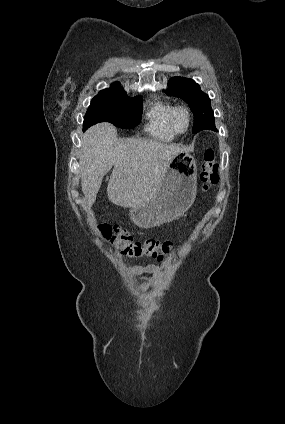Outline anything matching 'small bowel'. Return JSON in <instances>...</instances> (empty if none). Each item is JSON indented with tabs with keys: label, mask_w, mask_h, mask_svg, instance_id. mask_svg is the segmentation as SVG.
<instances>
[{
	"label": "small bowel",
	"mask_w": 285,
	"mask_h": 424,
	"mask_svg": "<svg viewBox=\"0 0 285 424\" xmlns=\"http://www.w3.org/2000/svg\"><path fill=\"white\" fill-rule=\"evenodd\" d=\"M129 272L134 275H148L149 278L143 281L138 286V292L145 294L143 301V306H148L153 298L154 292L150 290V284L153 279H155L159 273L160 268L156 265H147V266H133L130 268Z\"/></svg>",
	"instance_id": "small-bowel-1"
}]
</instances>
